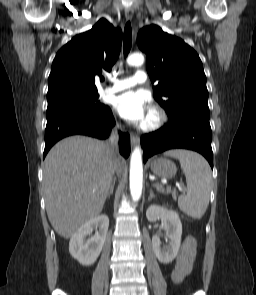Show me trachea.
I'll return each mask as SVG.
<instances>
[{"label":"trachea","instance_id":"obj_1","mask_svg":"<svg viewBox=\"0 0 256 295\" xmlns=\"http://www.w3.org/2000/svg\"><path fill=\"white\" fill-rule=\"evenodd\" d=\"M132 46V29L131 23L128 21L124 28L123 50L124 55L127 56Z\"/></svg>","mask_w":256,"mask_h":295}]
</instances>
